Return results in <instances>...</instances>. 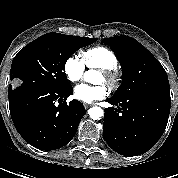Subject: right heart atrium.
Returning <instances> with one entry per match:
<instances>
[{
  "instance_id": "d8ad5b80",
  "label": "right heart atrium",
  "mask_w": 178,
  "mask_h": 178,
  "mask_svg": "<svg viewBox=\"0 0 178 178\" xmlns=\"http://www.w3.org/2000/svg\"><path fill=\"white\" fill-rule=\"evenodd\" d=\"M85 72V64L76 56H70L64 63V73L70 82H78Z\"/></svg>"
}]
</instances>
